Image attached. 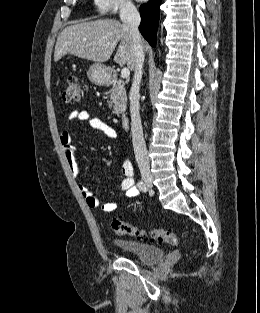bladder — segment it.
<instances>
[{
  "mask_svg": "<svg viewBox=\"0 0 260 313\" xmlns=\"http://www.w3.org/2000/svg\"><path fill=\"white\" fill-rule=\"evenodd\" d=\"M113 244L129 254L135 256L143 263H152L164 258V251L155 245L146 244L135 240L113 239Z\"/></svg>",
  "mask_w": 260,
  "mask_h": 313,
  "instance_id": "bladder-1",
  "label": "bladder"
}]
</instances>
